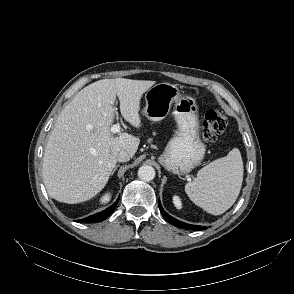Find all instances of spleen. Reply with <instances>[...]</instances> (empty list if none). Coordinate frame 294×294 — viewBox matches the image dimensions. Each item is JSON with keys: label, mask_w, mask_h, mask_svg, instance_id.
Wrapping results in <instances>:
<instances>
[{"label": "spleen", "mask_w": 294, "mask_h": 294, "mask_svg": "<svg viewBox=\"0 0 294 294\" xmlns=\"http://www.w3.org/2000/svg\"><path fill=\"white\" fill-rule=\"evenodd\" d=\"M243 181V161L239 149L203 167L192 182L185 185L191 201L206 212L220 215L236 201Z\"/></svg>", "instance_id": "obj_1"}]
</instances>
